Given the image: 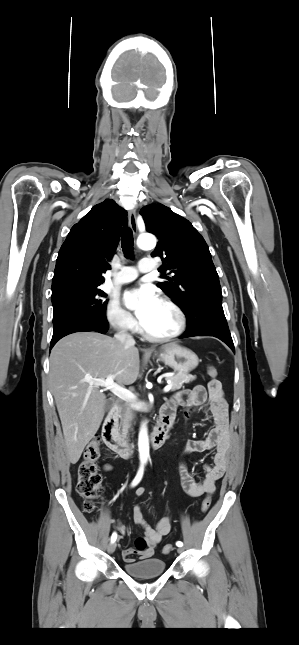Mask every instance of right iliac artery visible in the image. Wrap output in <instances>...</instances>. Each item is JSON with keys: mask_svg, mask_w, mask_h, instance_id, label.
Listing matches in <instances>:
<instances>
[{"mask_svg": "<svg viewBox=\"0 0 299 645\" xmlns=\"http://www.w3.org/2000/svg\"><path fill=\"white\" fill-rule=\"evenodd\" d=\"M142 476H143V467L139 469L135 479L132 482V486H136L140 482ZM116 539H117V534L114 532L111 536V542H115Z\"/></svg>", "mask_w": 299, "mask_h": 645, "instance_id": "1", "label": "right iliac artery"}]
</instances>
